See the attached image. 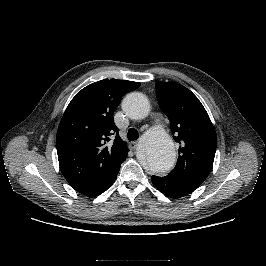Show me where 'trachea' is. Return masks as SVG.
<instances>
[{"label": "trachea", "instance_id": "1", "mask_svg": "<svg viewBox=\"0 0 266 266\" xmlns=\"http://www.w3.org/2000/svg\"><path fill=\"white\" fill-rule=\"evenodd\" d=\"M127 137L129 141H135L139 138V133L136 129L130 128L128 130Z\"/></svg>", "mask_w": 266, "mask_h": 266}]
</instances>
